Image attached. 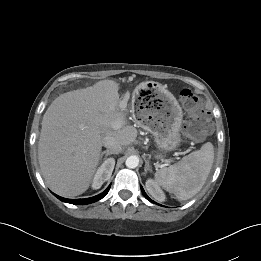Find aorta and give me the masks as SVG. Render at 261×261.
Here are the masks:
<instances>
[{"instance_id":"obj_1","label":"aorta","mask_w":261,"mask_h":261,"mask_svg":"<svg viewBox=\"0 0 261 261\" xmlns=\"http://www.w3.org/2000/svg\"><path fill=\"white\" fill-rule=\"evenodd\" d=\"M126 166L128 168H131V169H134L138 166L139 164V158L135 155H132V156H129L127 159H126V162H125Z\"/></svg>"}]
</instances>
